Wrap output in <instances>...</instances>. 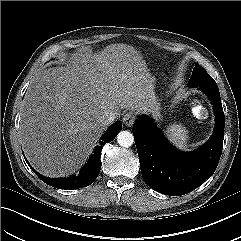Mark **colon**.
Listing matches in <instances>:
<instances>
[{
    "label": "colon",
    "instance_id": "5ec220e1",
    "mask_svg": "<svg viewBox=\"0 0 241 241\" xmlns=\"http://www.w3.org/2000/svg\"><path fill=\"white\" fill-rule=\"evenodd\" d=\"M195 106H196V107H199V104H198V103H195ZM199 113H200L201 116H204V115H205V111H204L201 107H199Z\"/></svg>",
    "mask_w": 241,
    "mask_h": 241
}]
</instances>
